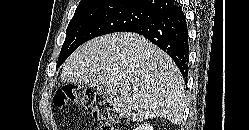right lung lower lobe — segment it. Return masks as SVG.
Listing matches in <instances>:
<instances>
[{"instance_id": "obj_1", "label": "right lung lower lobe", "mask_w": 249, "mask_h": 130, "mask_svg": "<svg viewBox=\"0 0 249 130\" xmlns=\"http://www.w3.org/2000/svg\"><path fill=\"white\" fill-rule=\"evenodd\" d=\"M127 32L138 33L165 51L176 63L185 82L188 71V30L184 12L179 6L146 22L132 26Z\"/></svg>"}]
</instances>
